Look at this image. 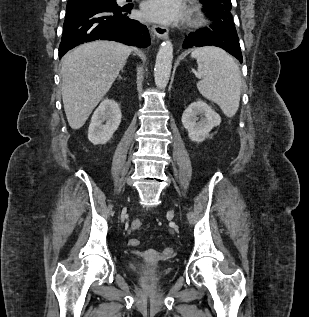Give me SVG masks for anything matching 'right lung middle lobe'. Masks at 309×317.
<instances>
[{
    "instance_id": "1",
    "label": "right lung middle lobe",
    "mask_w": 309,
    "mask_h": 317,
    "mask_svg": "<svg viewBox=\"0 0 309 317\" xmlns=\"http://www.w3.org/2000/svg\"><path fill=\"white\" fill-rule=\"evenodd\" d=\"M91 2L104 3L109 5H117L116 0H88Z\"/></svg>"
}]
</instances>
